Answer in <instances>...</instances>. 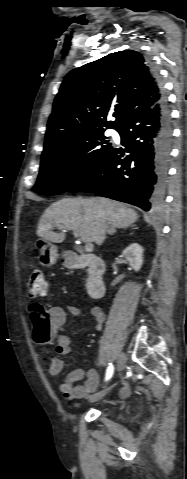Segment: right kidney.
Returning a JSON list of instances; mask_svg holds the SVG:
<instances>
[{
	"instance_id": "1",
	"label": "right kidney",
	"mask_w": 187,
	"mask_h": 479,
	"mask_svg": "<svg viewBox=\"0 0 187 479\" xmlns=\"http://www.w3.org/2000/svg\"><path fill=\"white\" fill-rule=\"evenodd\" d=\"M143 251V248L139 244L133 243L122 252V255L136 272L141 269L143 264Z\"/></svg>"
}]
</instances>
